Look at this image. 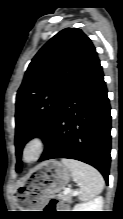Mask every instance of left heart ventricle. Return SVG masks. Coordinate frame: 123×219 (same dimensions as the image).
<instances>
[{"mask_svg":"<svg viewBox=\"0 0 123 219\" xmlns=\"http://www.w3.org/2000/svg\"><path fill=\"white\" fill-rule=\"evenodd\" d=\"M32 156V152H29L28 153V157L30 158Z\"/></svg>","mask_w":123,"mask_h":219,"instance_id":"obj_1","label":"left heart ventricle"}]
</instances>
